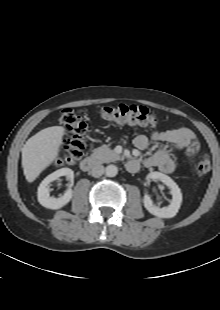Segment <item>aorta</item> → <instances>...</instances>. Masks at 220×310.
Returning a JSON list of instances; mask_svg holds the SVG:
<instances>
[{
  "label": "aorta",
  "mask_w": 220,
  "mask_h": 310,
  "mask_svg": "<svg viewBox=\"0 0 220 310\" xmlns=\"http://www.w3.org/2000/svg\"><path fill=\"white\" fill-rule=\"evenodd\" d=\"M105 173H106V176L108 177H115L118 173V168L117 166L113 164L108 165L105 169Z\"/></svg>",
  "instance_id": "1"
}]
</instances>
